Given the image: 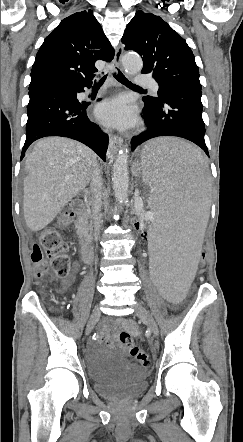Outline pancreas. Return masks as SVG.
<instances>
[{"label":"pancreas","instance_id":"1","mask_svg":"<svg viewBox=\"0 0 243 442\" xmlns=\"http://www.w3.org/2000/svg\"><path fill=\"white\" fill-rule=\"evenodd\" d=\"M90 228H91V224L86 223V224H85V229H84V230L87 231V230L90 229Z\"/></svg>","mask_w":243,"mask_h":442}]
</instances>
